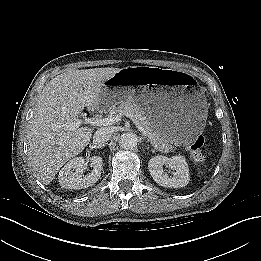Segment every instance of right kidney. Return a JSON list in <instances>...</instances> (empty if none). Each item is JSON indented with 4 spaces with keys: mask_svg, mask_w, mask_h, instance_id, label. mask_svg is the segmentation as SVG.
<instances>
[{
    "mask_svg": "<svg viewBox=\"0 0 261 261\" xmlns=\"http://www.w3.org/2000/svg\"><path fill=\"white\" fill-rule=\"evenodd\" d=\"M93 170L84 176L86 169L85 159L75 157L71 159L59 172V183L66 189H84L93 186L99 179L103 169V160L100 156L90 158Z\"/></svg>",
    "mask_w": 261,
    "mask_h": 261,
    "instance_id": "right-kidney-1",
    "label": "right kidney"
}]
</instances>
